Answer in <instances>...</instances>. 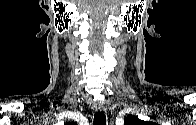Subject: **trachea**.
I'll list each match as a JSON object with an SVG mask.
<instances>
[{
	"label": "trachea",
	"instance_id": "trachea-1",
	"mask_svg": "<svg viewBox=\"0 0 196 125\" xmlns=\"http://www.w3.org/2000/svg\"><path fill=\"white\" fill-rule=\"evenodd\" d=\"M94 125H106V116L103 112H97L94 115Z\"/></svg>",
	"mask_w": 196,
	"mask_h": 125
}]
</instances>
